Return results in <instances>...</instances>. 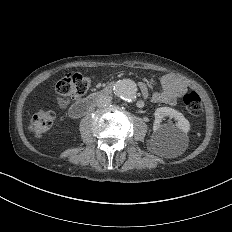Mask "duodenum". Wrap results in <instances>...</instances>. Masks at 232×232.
Instances as JSON below:
<instances>
[{
  "label": "duodenum",
  "instance_id": "1",
  "mask_svg": "<svg viewBox=\"0 0 232 232\" xmlns=\"http://www.w3.org/2000/svg\"><path fill=\"white\" fill-rule=\"evenodd\" d=\"M112 91H113V84L110 83L105 87H103L102 89L93 92L88 97L79 100L75 104H73L69 109V115L72 118H79L85 115L101 97L110 95Z\"/></svg>",
  "mask_w": 232,
  "mask_h": 232
}]
</instances>
